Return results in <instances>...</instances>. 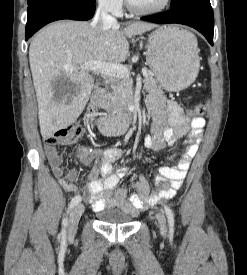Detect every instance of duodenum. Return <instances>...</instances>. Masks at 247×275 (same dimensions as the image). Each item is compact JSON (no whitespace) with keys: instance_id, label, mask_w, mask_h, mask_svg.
I'll return each instance as SVG.
<instances>
[{"instance_id":"410a0bca","label":"duodenum","mask_w":247,"mask_h":275,"mask_svg":"<svg viewBox=\"0 0 247 275\" xmlns=\"http://www.w3.org/2000/svg\"><path fill=\"white\" fill-rule=\"evenodd\" d=\"M104 97L105 91L98 90L95 92L88 108V116L105 135L118 136L125 133L133 123L135 113L132 111H126L118 115L100 116L98 111Z\"/></svg>"}]
</instances>
